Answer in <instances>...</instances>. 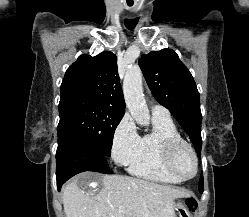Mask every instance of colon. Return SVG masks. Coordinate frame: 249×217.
Here are the masks:
<instances>
[{"label":"colon","mask_w":249,"mask_h":217,"mask_svg":"<svg viewBox=\"0 0 249 217\" xmlns=\"http://www.w3.org/2000/svg\"><path fill=\"white\" fill-rule=\"evenodd\" d=\"M185 205L189 210L194 211L197 209L198 202L195 198L190 197L185 200Z\"/></svg>","instance_id":"1"}]
</instances>
